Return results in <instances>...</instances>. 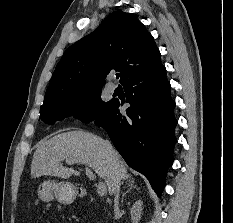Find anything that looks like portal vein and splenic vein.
<instances>
[{
    "label": "portal vein and splenic vein",
    "mask_w": 233,
    "mask_h": 223,
    "mask_svg": "<svg viewBox=\"0 0 233 223\" xmlns=\"http://www.w3.org/2000/svg\"><path fill=\"white\" fill-rule=\"evenodd\" d=\"M88 169H90V167H88ZM88 177H90V179H96V175H94V173H92V171H88L87 173ZM97 189H98V193L99 195H101V197H103V195H106V191H105V183H103V181H97V183H95Z\"/></svg>",
    "instance_id": "18ae733b"
}]
</instances>
